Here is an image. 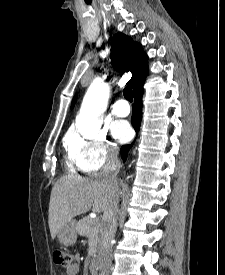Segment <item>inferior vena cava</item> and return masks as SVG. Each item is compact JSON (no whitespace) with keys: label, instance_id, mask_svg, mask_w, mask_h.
<instances>
[{"label":"inferior vena cava","instance_id":"602c4592","mask_svg":"<svg viewBox=\"0 0 225 275\" xmlns=\"http://www.w3.org/2000/svg\"><path fill=\"white\" fill-rule=\"evenodd\" d=\"M120 163L117 158V152L109 149L107 153V162L103 166L100 176L103 178L109 189L108 203L102 218L101 238L98 247V259L100 271L103 275H109L112 263V245L116 232V215L119 202V185L117 173Z\"/></svg>","mask_w":225,"mask_h":275}]
</instances>
